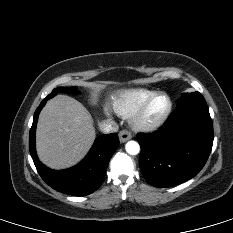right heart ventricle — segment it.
I'll list each match as a JSON object with an SVG mask.
<instances>
[{
	"label": "right heart ventricle",
	"instance_id": "1",
	"mask_svg": "<svg viewBox=\"0 0 233 233\" xmlns=\"http://www.w3.org/2000/svg\"><path fill=\"white\" fill-rule=\"evenodd\" d=\"M154 93L155 90L146 88L124 90L114 98L113 109L118 115L129 118Z\"/></svg>",
	"mask_w": 233,
	"mask_h": 233
}]
</instances>
